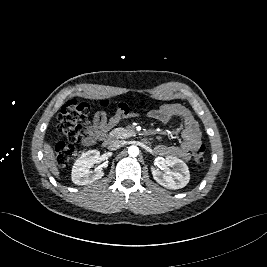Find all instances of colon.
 Segmentation results:
<instances>
[{
  "mask_svg": "<svg viewBox=\"0 0 267 267\" xmlns=\"http://www.w3.org/2000/svg\"><path fill=\"white\" fill-rule=\"evenodd\" d=\"M103 107H111L108 101H101ZM146 103H140L145 106ZM90 112L89 104L72 99L67 101L59 113V131L66 138L67 142H59L56 146V161L59 166H67L79 155L76 144L84 138L83 124ZM205 146L200 144L193 150V160L196 163L204 161Z\"/></svg>",
  "mask_w": 267,
  "mask_h": 267,
  "instance_id": "obj_1",
  "label": "colon"
}]
</instances>
